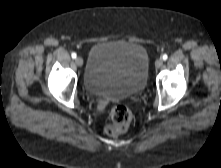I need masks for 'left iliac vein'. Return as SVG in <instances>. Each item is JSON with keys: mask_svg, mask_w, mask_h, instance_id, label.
<instances>
[{"mask_svg": "<svg viewBox=\"0 0 221 168\" xmlns=\"http://www.w3.org/2000/svg\"><path fill=\"white\" fill-rule=\"evenodd\" d=\"M162 65H163V60L161 58L157 59L155 62L156 68H160V67H162Z\"/></svg>", "mask_w": 221, "mask_h": 168, "instance_id": "4c4485c4", "label": "left iliac vein"}]
</instances>
